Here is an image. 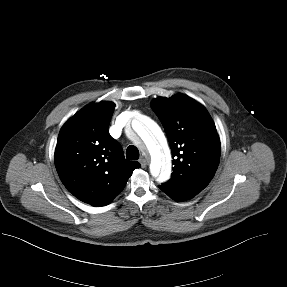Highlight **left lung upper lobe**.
I'll list each match as a JSON object with an SVG mask.
<instances>
[{
  "mask_svg": "<svg viewBox=\"0 0 287 287\" xmlns=\"http://www.w3.org/2000/svg\"><path fill=\"white\" fill-rule=\"evenodd\" d=\"M151 106L173 156L172 177L162 185L191 199L209 184L219 164L221 144L215 124L204 106L183 94L156 98Z\"/></svg>",
  "mask_w": 287,
  "mask_h": 287,
  "instance_id": "obj_1",
  "label": "left lung upper lobe"
}]
</instances>
